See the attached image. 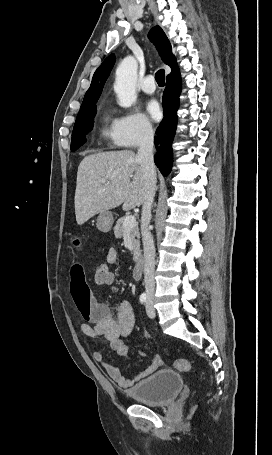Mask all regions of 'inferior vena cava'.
Segmentation results:
<instances>
[{
  "instance_id": "inferior-vena-cava-1",
  "label": "inferior vena cava",
  "mask_w": 272,
  "mask_h": 455,
  "mask_svg": "<svg viewBox=\"0 0 272 455\" xmlns=\"http://www.w3.org/2000/svg\"><path fill=\"white\" fill-rule=\"evenodd\" d=\"M153 138L154 132L150 125L143 128L137 158L141 163L144 177L146 179V194L143 201L141 213V234L144 249V283L148 298L154 297L155 280V247L152 234L149 230L151 220V208L155 196L156 169L153 160Z\"/></svg>"
}]
</instances>
